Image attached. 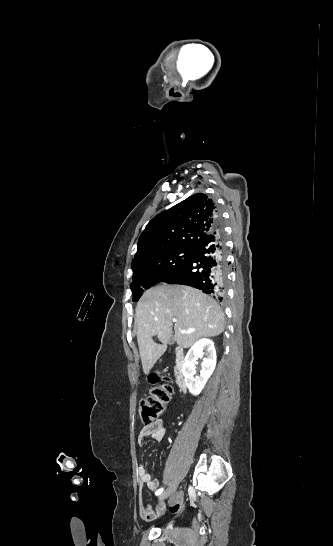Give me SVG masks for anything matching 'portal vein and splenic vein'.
<instances>
[{
    "label": "portal vein and splenic vein",
    "mask_w": 333,
    "mask_h": 546,
    "mask_svg": "<svg viewBox=\"0 0 333 546\" xmlns=\"http://www.w3.org/2000/svg\"><path fill=\"white\" fill-rule=\"evenodd\" d=\"M172 321L176 322V319H173ZM180 333L184 334V333H188V332H186L185 330H180Z\"/></svg>",
    "instance_id": "obj_1"
}]
</instances>
